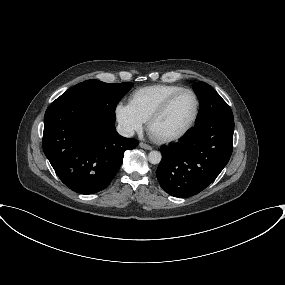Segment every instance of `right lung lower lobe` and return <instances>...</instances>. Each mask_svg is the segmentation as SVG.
Returning a JSON list of instances; mask_svg holds the SVG:
<instances>
[{
    "mask_svg": "<svg viewBox=\"0 0 285 285\" xmlns=\"http://www.w3.org/2000/svg\"><path fill=\"white\" fill-rule=\"evenodd\" d=\"M43 150L59 179L71 190L104 189L120 168L124 152L138 141L120 136L114 121L69 102L55 100L44 116Z\"/></svg>",
    "mask_w": 285,
    "mask_h": 285,
    "instance_id": "right-lung-lower-lobe-1",
    "label": "right lung lower lobe"
}]
</instances>
